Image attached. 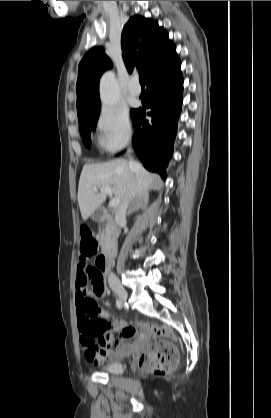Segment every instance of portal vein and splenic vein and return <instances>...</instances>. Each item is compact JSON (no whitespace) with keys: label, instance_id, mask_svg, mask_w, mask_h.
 Masks as SVG:
<instances>
[{"label":"portal vein and splenic vein","instance_id":"18ae733b","mask_svg":"<svg viewBox=\"0 0 271 418\" xmlns=\"http://www.w3.org/2000/svg\"><path fill=\"white\" fill-rule=\"evenodd\" d=\"M100 192H104V193L108 194L109 196L113 195L111 187H108V186L101 187ZM120 202H121V200L118 197H114L110 201L109 205L111 207H117V206H119Z\"/></svg>","mask_w":271,"mask_h":418}]
</instances>
